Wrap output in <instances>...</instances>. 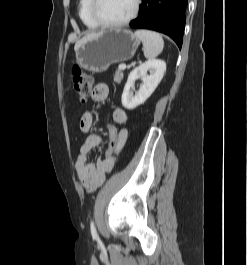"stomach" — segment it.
Instances as JSON below:
<instances>
[{
    "instance_id": "0dacf381",
    "label": "stomach",
    "mask_w": 247,
    "mask_h": 265,
    "mask_svg": "<svg viewBox=\"0 0 247 265\" xmlns=\"http://www.w3.org/2000/svg\"><path fill=\"white\" fill-rule=\"evenodd\" d=\"M139 45L140 39L132 31L108 29L77 46L76 62L87 71L101 73L113 63L130 60Z\"/></svg>"
}]
</instances>
